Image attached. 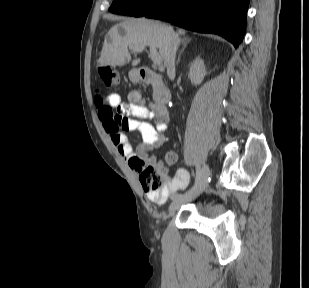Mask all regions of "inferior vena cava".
Returning <instances> with one entry per match:
<instances>
[{"instance_id":"inferior-vena-cava-1","label":"inferior vena cava","mask_w":309,"mask_h":288,"mask_svg":"<svg viewBox=\"0 0 309 288\" xmlns=\"http://www.w3.org/2000/svg\"><path fill=\"white\" fill-rule=\"evenodd\" d=\"M178 43L179 41L172 40V44L170 46L169 53L167 56L166 66H167V74L169 77H172L175 74V57L178 48Z\"/></svg>"}]
</instances>
